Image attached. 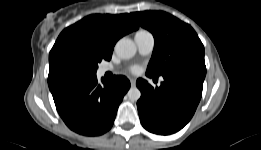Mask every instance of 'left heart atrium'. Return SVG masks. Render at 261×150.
<instances>
[{
    "mask_svg": "<svg viewBox=\"0 0 261 150\" xmlns=\"http://www.w3.org/2000/svg\"><path fill=\"white\" fill-rule=\"evenodd\" d=\"M131 70H132L133 72H136V71H137V67H132Z\"/></svg>",
    "mask_w": 261,
    "mask_h": 150,
    "instance_id": "obj_1",
    "label": "left heart atrium"
}]
</instances>
